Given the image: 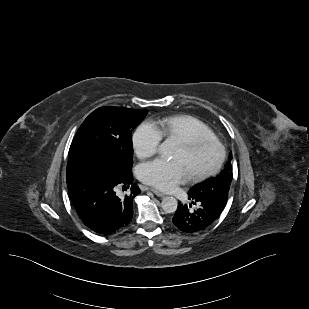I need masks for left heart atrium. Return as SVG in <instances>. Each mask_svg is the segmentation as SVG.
Wrapping results in <instances>:
<instances>
[{
	"mask_svg": "<svg viewBox=\"0 0 309 309\" xmlns=\"http://www.w3.org/2000/svg\"><path fill=\"white\" fill-rule=\"evenodd\" d=\"M137 177L157 189L171 191L186 182L190 174L181 160L157 158L140 164L137 168Z\"/></svg>",
	"mask_w": 309,
	"mask_h": 309,
	"instance_id": "39dd6f15",
	"label": "left heart atrium"
}]
</instances>
